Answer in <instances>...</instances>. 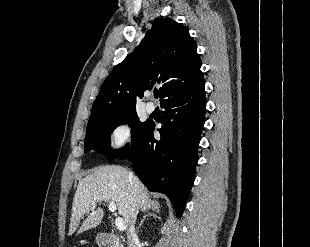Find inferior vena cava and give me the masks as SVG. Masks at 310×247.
Instances as JSON below:
<instances>
[{
	"instance_id": "602c4592",
	"label": "inferior vena cava",
	"mask_w": 310,
	"mask_h": 247,
	"mask_svg": "<svg viewBox=\"0 0 310 247\" xmlns=\"http://www.w3.org/2000/svg\"><path fill=\"white\" fill-rule=\"evenodd\" d=\"M129 179L131 182H135V177L133 176L132 172H129ZM136 216H137V211L135 210V212L132 216V223H131V226L129 228V234H128L129 247H136V245L139 242L138 236L136 234L135 227H134Z\"/></svg>"
}]
</instances>
